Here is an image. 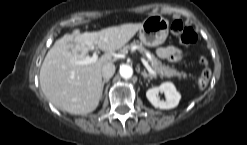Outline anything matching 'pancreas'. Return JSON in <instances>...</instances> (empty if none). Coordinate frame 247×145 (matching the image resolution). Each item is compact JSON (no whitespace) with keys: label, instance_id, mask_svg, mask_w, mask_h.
I'll return each instance as SVG.
<instances>
[{"label":"pancreas","instance_id":"obj_1","mask_svg":"<svg viewBox=\"0 0 247 145\" xmlns=\"http://www.w3.org/2000/svg\"><path fill=\"white\" fill-rule=\"evenodd\" d=\"M136 44L132 43L124 46L121 49V52L126 53L128 50L132 49ZM139 51L143 52V48L139 46ZM152 69L156 72V74L161 77H178V78H186L187 74L185 72H179L175 68L170 67L169 65L162 64L160 60H158L155 56H151L149 59Z\"/></svg>","mask_w":247,"mask_h":145}]
</instances>
